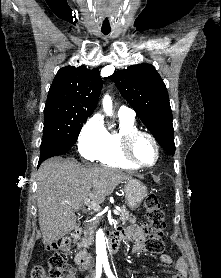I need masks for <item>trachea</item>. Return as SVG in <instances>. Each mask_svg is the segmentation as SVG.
I'll return each mask as SVG.
<instances>
[{
    "mask_svg": "<svg viewBox=\"0 0 221 278\" xmlns=\"http://www.w3.org/2000/svg\"><path fill=\"white\" fill-rule=\"evenodd\" d=\"M102 33H103L104 35H108V34L110 33V30H102Z\"/></svg>",
    "mask_w": 221,
    "mask_h": 278,
    "instance_id": "1",
    "label": "trachea"
}]
</instances>
